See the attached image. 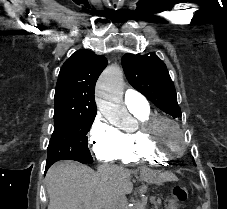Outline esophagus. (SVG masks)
Instances as JSON below:
<instances>
[{
  "mask_svg": "<svg viewBox=\"0 0 227 209\" xmlns=\"http://www.w3.org/2000/svg\"><path fill=\"white\" fill-rule=\"evenodd\" d=\"M138 177H148V172H146V170H143V172H138Z\"/></svg>",
  "mask_w": 227,
  "mask_h": 209,
  "instance_id": "34e87169",
  "label": "esophagus"
}]
</instances>
